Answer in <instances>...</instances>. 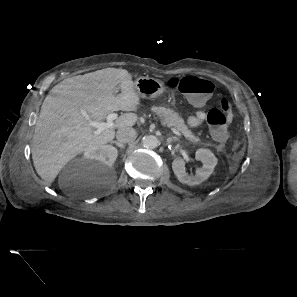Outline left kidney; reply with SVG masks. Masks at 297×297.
Wrapping results in <instances>:
<instances>
[{"label":"left kidney","instance_id":"obj_1","mask_svg":"<svg viewBox=\"0 0 297 297\" xmlns=\"http://www.w3.org/2000/svg\"><path fill=\"white\" fill-rule=\"evenodd\" d=\"M195 159L201 161L203 165L196 170L194 176L186 172L183 158L179 157L173 160L172 170L181 183L190 186L198 185L208 179L213 173L217 164V158L209 149H198L195 153Z\"/></svg>","mask_w":297,"mask_h":297}]
</instances>
